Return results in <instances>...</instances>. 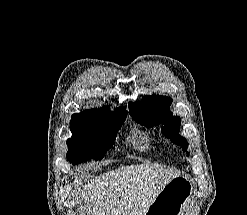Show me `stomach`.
I'll return each instance as SVG.
<instances>
[{"label":"stomach","instance_id":"0dacf381","mask_svg":"<svg viewBox=\"0 0 247 215\" xmlns=\"http://www.w3.org/2000/svg\"><path fill=\"white\" fill-rule=\"evenodd\" d=\"M193 193V182L176 176L160 190L143 215H183Z\"/></svg>","mask_w":247,"mask_h":215}]
</instances>
